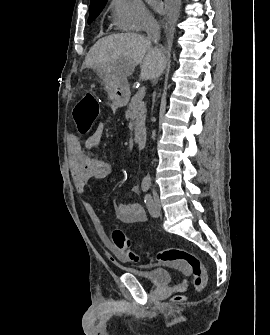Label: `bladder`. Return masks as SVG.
Returning <instances> with one entry per match:
<instances>
[{
  "label": "bladder",
  "instance_id": "31cf9c89",
  "mask_svg": "<svg viewBox=\"0 0 270 335\" xmlns=\"http://www.w3.org/2000/svg\"><path fill=\"white\" fill-rule=\"evenodd\" d=\"M139 276L141 281L159 286H169L173 272L166 269H156L151 271H129Z\"/></svg>",
  "mask_w": 270,
  "mask_h": 335
}]
</instances>
